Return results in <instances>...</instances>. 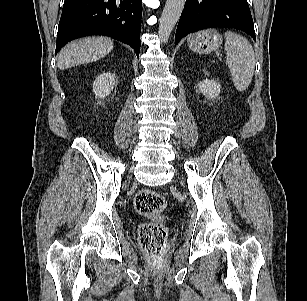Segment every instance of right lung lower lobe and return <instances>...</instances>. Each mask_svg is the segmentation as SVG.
Here are the masks:
<instances>
[{
    "mask_svg": "<svg viewBox=\"0 0 307 301\" xmlns=\"http://www.w3.org/2000/svg\"><path fill=\"white\" fill-rule=\"evenodd\" d=\"M141 17V0H65L55 53L73 39L106 35L130 45L139 55Z\"/></svg>",
    "mask_w": 307,
    "mask_h": 301,
    "instance_id": "1",
    "label": "right lung lower lobe"
}]
</instances>
